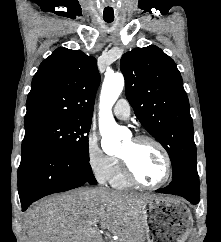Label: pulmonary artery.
I'll list each match as a JSON object with an SVG mask.
<instances>
[{
    "mask_svg": "<svg viewBox=\"0 0 221 242\" xmlns=\"http://www.w3.org/2000/svg\"><path fill=\"white\" fill-rule=\"evenodd\" d=\"M113 113L119 119H128L131 113L128 101L124 98L119 99L113 108Z\"/></svg>",
    "mask_w": 221,
    "mask_h": 242,
    "instance_id": "e3ab8cb5",
    "label": "pulmonary artery"
}]
</instances>
